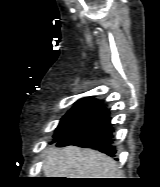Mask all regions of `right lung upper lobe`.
Listing matches in <instances>:
<instances>
[{
	"label": "right lung upper lobe",
	"instance_id": "obj_1",
	"mask_svg": "<svg viewBox=\"0 0 160 187\" xmlns=\"http://www.w3.org/2000/svg\"><path fill=\"white\" fill-rule=\"evenodd\" d=\"M75 104L77 105H89V106H98L100 102L93 97H86L78 100Z\"/></svg>",
	"mask_w": 160,
	"mask_h": 187
}]
</instances>
